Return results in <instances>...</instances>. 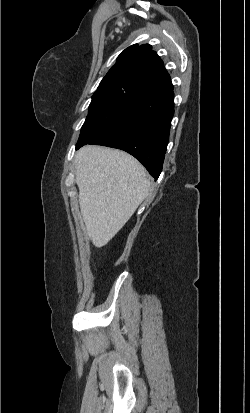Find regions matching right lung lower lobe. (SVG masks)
I'll use <instances>...</instances> for the list:
<instances>
[{"instance_id":"right-lung-lower-lobe-1","label":"right lung lower lobe","mask_w":250,"mask_h":413,"mask_svg":"<svg viewBox=\"0 0 250 413\" xmlns=\"http://www.w3.org/2000/svg\"><path fill=\"white\" fill-rule=\"evenodd\" d=\"M173 114V89L139 96L131 100L119 116L87 144L124 150L137 158L150 175L158 179Z\"/></svg>"}]
</instances>
